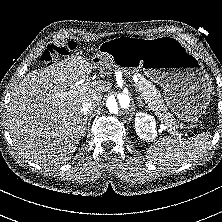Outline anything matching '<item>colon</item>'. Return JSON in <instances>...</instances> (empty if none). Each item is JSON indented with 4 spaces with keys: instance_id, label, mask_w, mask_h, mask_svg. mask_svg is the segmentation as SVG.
Listing matches in <instances>:
<instances>
[{
    "instance_id": "5ec220e1",
    "label": "colon",
    "mask_w": 222,
    "mask_h": 222,
    "mask_svg": "<svg viewBox=\"0 0 222 222\" xmlns=\"http://www.w3.org/2000/svg\"><path fill=\"white\" fill-rule=\"evenodd\" d=\"M76 44L74 42H68L61 46L49 45L43 51L41 55V60L45 63H52L56 60L66 56L69 52L75 49Z\"/></svg>"
}]
</instances>
